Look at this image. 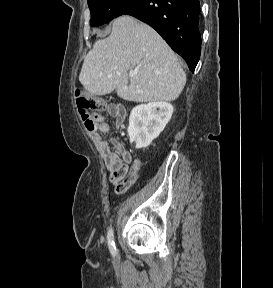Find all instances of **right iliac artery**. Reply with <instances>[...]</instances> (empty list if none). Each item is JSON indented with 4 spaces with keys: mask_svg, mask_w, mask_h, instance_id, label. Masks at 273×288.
I'll return each mask as SVG.
<instances>
[{
    "mask_svg": "<svg viewBox=\"0 0 273 288\" xmlns=\"http://www.w3.org/2000/svg\"><path fill=\"white\" fill-rule=\"evenodd\" d=\"M107 240H108V247L110 252L114 255L116 254V247L114 242V236H113V229L110 228L107 234Z\"/></svg>",
    "mask_w": 273,
    "mask_h": 288,
    "instance_id": "obj_1",
    "label": "right iliac artery"
}]
</instances>
